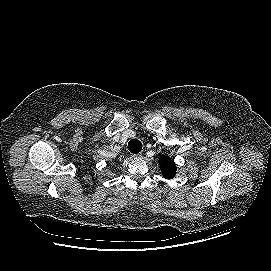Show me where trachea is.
I'll return each mask as SVG.
<instances>
[{
  "mask_svg": "<svg viewBox=\"0 0 271 271\" xmlns=\"http://www.w3.org/2000/svg\"><path fill=\"white\" fill-rule=\"evenodd\" d=\"M128 150L133 154H137L142 150V143L138 139H132L128 143Z\"/></svg>",
  "mask_w": 271,
  "mask_h": 271,
  "instance_id": "trachea-1",
  "label": "trachea"
}]
</instances>
